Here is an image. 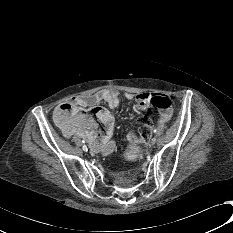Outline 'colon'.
<instances>
[{
	"label": "colon",
	"instance_id": "colon-1",
	"mask_svg": "<svg viewBox=\"0 0 233 233\" xmlns=\"http://www.w3.org/2000/svg\"><path fill=\"white\" fill-rule=\"evenodd\" d=\"M149 106L150 107L147 109L146 115L143 117V120L140 123L138 136L132 139L133 145L143 144L149 139L151 135V116L154 114V110L168 113L172 107V101L168 96L154 95L150 99ZM75 113L76 110L70 103H64L58 107L55 114V119L59 125L68 127L71 125V117ZM91 113L100 121L107 119V117L110 115L109 111L103 107H95L92 109ZM88 117L90 116L87 114L80 115L78 119L79 125H86Z\"/></svg>",
	"mask_w": 233,
	"mask_h": 233
}]
</instances>
